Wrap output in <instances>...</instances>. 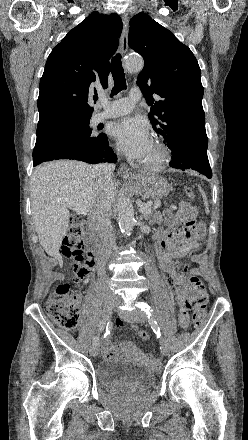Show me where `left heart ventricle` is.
<instances>
[{
    "label": "left heart ventricle",
    "instance_id": "left-heart-ventricle-1",
    "mask_svg": "<svg viewBox=\"0 0 248 440\" xmlns=\"http://www.w3.org/2000/svg\"><path fill=\"white\" fill-rule=\"evenodd\" d=\"M155 156H156V152H155V149H154V147H153V145H152L150 151L148 152V154L146 155V157L144 158L143 161H149V160H152V159L155 158Z\"/></svg>",
    "mask_w": 248,
    "mask_h": 440
}]
</instances>
